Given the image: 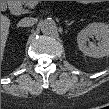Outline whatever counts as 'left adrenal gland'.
<instances>
[{
    "label": "left adrenal gland",
    "mask_w": 109,
    "mask_h": 109,
    "mask_svg": "<svg viewBox=\"0 0 109 109\" xmlns=\"http://www.w3.org/2000/svg\"><path fill=\"white\" fill-rule=\"evenodd\" d=\"M73 23H74V21H71V22L66 21V24H67L68 26L72 25Z\"/></svg>",
    "instance_id": "1"
}]
</instances>
